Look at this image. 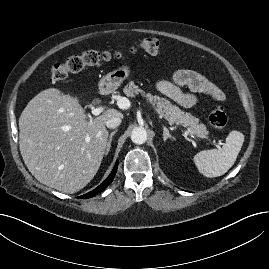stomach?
Segmentation results:
<instances>
[{
    "label": "stomach",
    "mask_w": 269,
    "mask_h": 269,
    "mask_svg": "<svg viewBox=\"0 0 269 269\" xmlns=\"http://www.w3.org/2000/svg\"><path fill=\"white\" fill-rule=\"evenodd\" d=\"M130 75V68L123 65L118 69L109 72L99 82V89L102 93L108 94L116 90Z\"/></svg>",
    "instance_id": "1"
}]
</instances>
